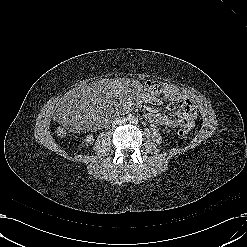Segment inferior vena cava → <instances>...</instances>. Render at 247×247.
I'll list each match as a JSON object with an SVG mask.
<instances>
[{
  "mask_svg": "<svg viewBox=\"0 0 247 247\" xmlns=\"http://www.w3.org/2000/svg\"><path fill=\"white\" fill-rule=\"evenodd\" d=\"M125 122H126V119L123 118V117H121V118H116V119L113 121L112 125H113V126H118V125L124 124Z\"/></svg>",
  "mask_w": 247,
  "mask_h": 247,
  "instance_id": "obj_1",
  "label": "inferior vena cava"
}]
</instances>
